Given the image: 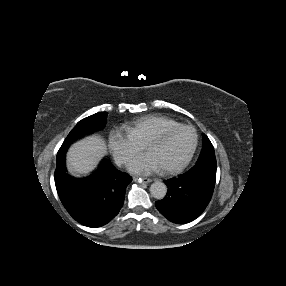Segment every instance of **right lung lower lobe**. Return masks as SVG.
<instances>
[{
	"mask_svg": "<svg viewBox=\"0 0 286 286\" xmlns=\"http://www.w3.org/2000/svg\"><path fill=\"white\" fill-rule=\"evenodd\" d=\"M65 150L61 147L58 151L54 174L62 204L84 226L95 228L107 224L122 208L131 176L104 160L90 176L73 178L65 171Z\"/></svg>",
	"mask_w": 286,
	"mask_h": 286,
	"instance_id": "obj_1",
	"label": "right lung lower lobe"
}]
</instances>
